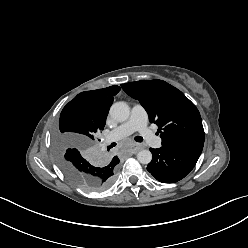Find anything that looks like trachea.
<instances>
[{"instance_id": "trachea-1", "label": "trachea", "mask_w": 248, "mask_h": 248, "mask_svg": "<svg viewBox=\"0 0 248 248\" xmlns=\"http://www.w3.org/2000/svg\"><path fill=\"white\" fill-rule=\"evenodd\" d=\"M135 140H136L137 142H142V141H143V138H142L141 136H136V137H135Z\"/></svg>"}]
</instances>
